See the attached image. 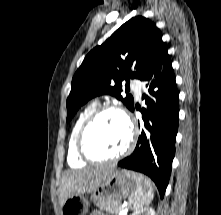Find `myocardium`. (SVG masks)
Returning a JSON list of instances; mask_svg holds the SVG:
<instances>
[{
    "label": "myocardium",
    "mask_w": 221,
    "mask_h": 215,
    "mask_svg": "<svg viewBox=\"0 0 221 215\" xmlns=\"http://www.w3.org/2000/svg\"><path fill=\"white\" fill-rule=\"evenodd\" d=\"M106 112H115L122 117V119L127 125L129 138H128L127 145L122 151L110 157L100 158V157H95L88 152L86 145H85V139H86L87 132L92 126V124L96 121V119L99 116H101L103 113H106ZM136 141H137V128L134 122L132 121V119L129 117V115L119 106H116L113 104H106V105L98 106L83 122L76 138V150H77L79 157L85 162H89V163L114 162L127 156L135 147Z\"/></svg>",
    "instance_id": "f54148a6"
}]
</instances>
